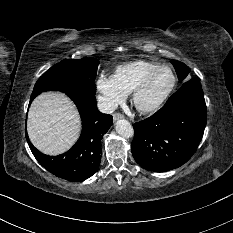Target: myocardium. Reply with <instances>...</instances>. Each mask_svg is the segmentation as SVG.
Masks as SVG:
<instances>
[{
	"instance_id": "myocardium-1",
	"label": "myocardium",
	"mask_w": 233,
	"mask_h": 233,
	"mask_svg": "<svg viewBox=\"0 0 233 233\" xmlns=\"http://www.w3.org/2000/svg\"><path fill=\"white\" fill-rule=\"evenodd\" d=\"M164 69L168 70L171 73V82H170L169 86L167 87L165 92L159 97V99L156 102H154L151 105H147V106L141 105L140 104V96L145 91V89L149 85L152 78L159 71L164 70ZM175 85H176V76H175V73L172 70V68H170L169 66H166V65H159L158 67H156L155 69L150 71L142 79V81L137 85V87L134 89L133 95H132V101H133L135 108L143 114H152V113L157 112L165 104V102L167 101V99L171 95L172 91L174 90Z\"/></svg>"
}]
</instances>
